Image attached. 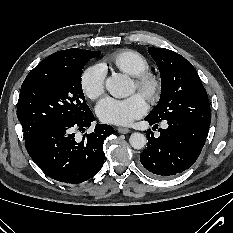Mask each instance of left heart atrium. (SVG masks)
I'll return each mask as SVG.
<instances>
[{
    "label": "left heart atrium",
    "instance_id": "1",
    "mask_svg": "<svg viewBox=\"0 0 233 233\" xmlns=\"http://www.w3.org/2000/svg\"><path fill=\"white\" fill-rule=\"evenodd\" d=\"M146 110V101L140 94H133L127 98L108 96L96 107V113L101 121L116 125H129L144 115Z\"/></svg>",
    "mask_w": 233,
    "mask_h": 233
}]
</instances>
